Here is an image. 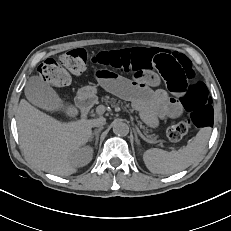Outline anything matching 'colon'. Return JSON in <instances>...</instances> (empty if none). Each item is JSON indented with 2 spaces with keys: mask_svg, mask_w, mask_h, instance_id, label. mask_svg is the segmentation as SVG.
Returning a JSON list of instances; mask_svg holds the SVG:
<instances>
[{
  "mask_svg": "<svg viewBox=\"0 0 231 231\" xmlns=\"http://www.w3.org/2000/svg\"><path fill=\"white\" fill-rule=\"evenodd\" d=\"M89 62L132 73L136 78L150 79V75L162 78L168 89L178 94L189 114L168 128L167 137L172 142L180 141L193 127L204 128L213 122L209 90L204 83L193 81L195 73L192 64L181 53L140 47L90 55L84 49H74L64 53L59 60L46 59L39 66V72L48 84L62 87L72 77L81 75Z\"/></svg>",
  "mask_w": 231,
  "mask_h": 231,
  "instance_id": "5ec220e1",
  "label": "colon"
}]
</instances>
